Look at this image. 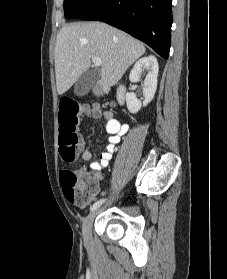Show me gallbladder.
Instances as JSON below:
<instances>
[{"label":"gallbladder","instance_id":"bac80fb5","mask_svg":"<svg viewBox=\"0 0 227 279\" xmlns=\"http://www.w3.org/2000/svg\"><path fill=\"white\" fill-rule=\"evenodd\" d=\"M99 77V73L96 70L85 71L76 81L74 86V93L77 96L86 95L93 87Z\"/></svg>","mask_w":227,"mask_h":279}]
</instances>
